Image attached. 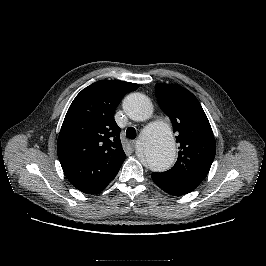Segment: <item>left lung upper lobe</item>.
<instances>
[{
	"label": "left lung upper lobe",
	"mask_w": 266,
	"mask_h": 266,
	"mask_svg": "<svg viewBox=\"0 0 266 266\" xmlns=\"http://www.w3.org/2000/svg\"><path fill=\"white\" fill-rule=\"evenodd\" d=\"M156 96L180 144L175 165L161 174L196 188L207 176L216 153L208 118L198 99L181 86L157 83Z\"/></svg>",
	"instance_id": "obj_1"
}]
</instances>
